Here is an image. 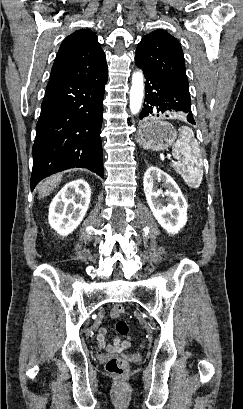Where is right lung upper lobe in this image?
Instances as JSON below:
<instances>
[{
    "label": "right lung upper lobe",
    "instance_id": "obj_1",
    "mask_svg": "<svg viewBox=\"0 0 243 409\" xmlns=\"http://www.w3.org/2000/svg\"><path fill=\"white\" fill-rule=\"evenodd\" d=\"M106 67V56L97 36L88 29L78 30L62 42L50 80H81L100 73Z\"/></svg>",
    "mask_w": 243,
    "mask_h": 409
}]
</instances>
